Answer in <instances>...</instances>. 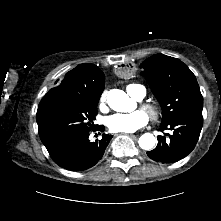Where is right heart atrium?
<instances>
[{"instance_id":"1","label":"right heart atrium","mask_w":221,"mask_h":221,"mask_svg":"<svg viewBox=\"0 0 221 221\" xmlns=\"http://www.w3.org/2000/svg\"><path fill=\"white\" fill-rule=\"evenodd\" d=\"M105 102H106V92H103L99 98V105L101 108L105 105Z\"/></svg>"}]
</instances>
